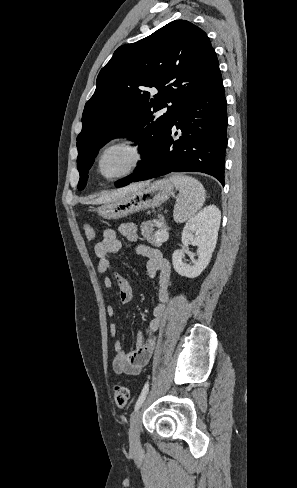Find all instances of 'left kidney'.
I'll return each instance as SVG.
<instances>
[{
    "instance_id": "obj_1",
    "label": "left kidney",
    "mask_w": 297,
    "mask_h": 488,
    "mask_svg": "<svg viewBox=\"0 0 297 488\" xmlns=\"http://www.w3.org/2000/svg\"><path fill=\"white\" fill-rule=\"evenodd\" d=\"M220 220V210L210 205L200 210L185 224L182 231L184 248L175 250L172 255L173 267L179 275L195 278L207 267L216 246ZM190 243L198 247V259L193 260L192 264H185V248Z\"/></svg>"
}]
</instances>
